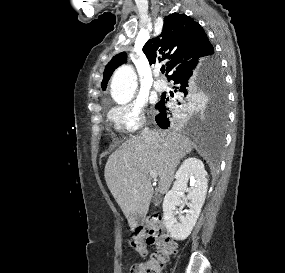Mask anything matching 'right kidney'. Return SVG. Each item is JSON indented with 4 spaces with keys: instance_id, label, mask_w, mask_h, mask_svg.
<instances>
[{
    "instance_id": "right-kidney-1",
    "label": "right kidney",
    "mask_w": 285,
    "mask_h": 273,
    "mask_svg": "<svg viewBox=\"0 0 285 273\" xmlns=\"http://www.w3.org/2000/svg\"><path fill=\"white\" fill-rule=\"evenodd\" d=\"M175 183L163 201V219L167 230L175 240H185L193 230L201 212L207 193V172L201 160L187 158L175 174ZM191 179L192 186L187 183ZM188 191V210L176 217L177 206L181 204V195Z\"/></svg>"
}]
</instances>
